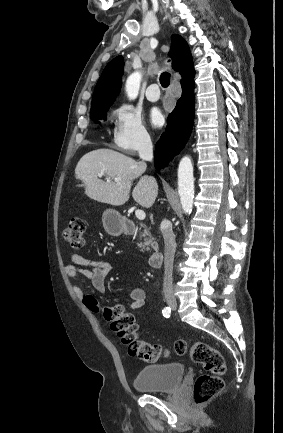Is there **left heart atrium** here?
I'll return each instance as SVG.
<instances>
[{"label":"left heart atrium","instance_id":"obj_1","mask_svg":"<svg viewBox=\"0 0 283 433\" xmlns=\"http://www.w3.org/2000/svg\"><path fill=\"white\" fill-rule=\"evenodd\" d=\"M150 122L155 127H159V126L162 125V123H163V115H162V113H161L160 110L153 109L150 112Z\"/></svg>","mask_w":283,"mask_h":433}]
</instances>
